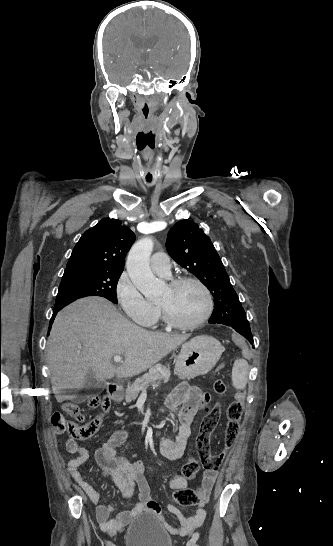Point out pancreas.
I'll return each instance as SVG.
<instances>
[{
    "label": "pancreas",
    "mask_w": 333,
    "mask_h": 546,
    "mask_svg": "<svg viewBox=\"0 0 333 546\" xmlns=\"http://www.w3.org/2000/svg\"><path fill=\"white\" fill-rule=\"evenodd\" d=\"M171 376L170 369L164 365L156 364L149 372L137 378L135 382L126 389V402L134 401L139 393L147 389L151 384L160 380H168Z\"/></svg>",
    "instance_id": "obj_1"
}]
</instances>
